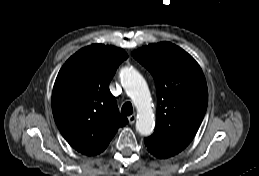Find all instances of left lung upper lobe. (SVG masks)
<instances>
[{"mask_svg":"<svg viewBox=\"0 0 259 176\" xmlns=\"http://www.w3.org/2000/svg\"><path fill=\"white\" fill-rule=\"evenodd\" d=\"M152 74L158 103L155 132L145 138L147 150L164 159L192 141L205 115L208 89L198 63L180 47L161 42L132 52Z\"/></svg>","mask_w":259,"mask_h":176,"instance_id":"left-lung-upper-lobe-1","label":"left lung upper lobe"}]
</instances>
